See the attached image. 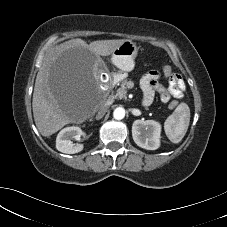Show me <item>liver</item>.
Instances as JSON below:
<instances>
[{
  "mask_svg": "<svg viewBox=\"0 0 227 227\" xmlns=\"http://www.w3.org/2000/svg\"><path fill=\"white\" fill-rule=\"evenodd\" d=\"M124 39L97 40L87 44L72 39L48 51L37 74L32 109L36 127L48 137L65 125L76 121L74 105L97 87L95 62L109 56ZM68 74L63 81L60 73Z\"/></svg>",
  "mask_w": 227,
  "mask_h": 227,
  "instance_id": "liver-1",
  "label": "liver"
}]
</instances>
